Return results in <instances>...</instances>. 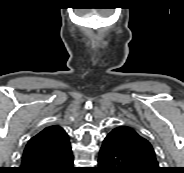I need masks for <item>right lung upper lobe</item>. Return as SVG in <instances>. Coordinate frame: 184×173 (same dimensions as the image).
Segmentation results:
<instances>
[{
    "instance_id": "obj_1",
    "label": "right lung upper lobe",
    "mask_w": 184,
    "mask_h": 173,
    "mask_svg": "<svg viewBox=\"0 0 184 173\" xmlns=\"http://www.w3.org/2000/svg\"><path fill=\"white\" fill-rule=\"evenodd\" d=\"M71 148L68 134L59 125L46 127L27 143L22 164L63 154Z\"/></svg>"
}]
</instances>
